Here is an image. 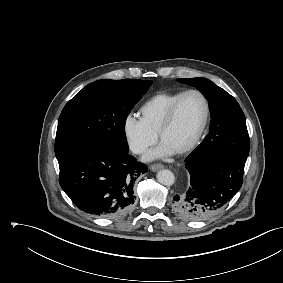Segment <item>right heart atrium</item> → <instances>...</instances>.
I'll list each match as a JSON object with an SVG mask.
<instances>
[{
    "label": "right heart atrium",
    "mask_w": 283,
    "mask_h": 283,
    "mask_svg": "<svg viewBox=\"0 0 283 283\" xmlns=\"http://www.w3.org/2000/svg\"><path fill=\"white\" fill-rule=\"evenodd\" d=\"M123 133L130 150L135 154L145 153L157 140V135L134 114L124 118Z\"/></svg>",
    "instance_id": "1"
}]
</instances>
